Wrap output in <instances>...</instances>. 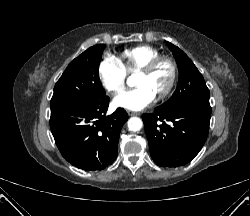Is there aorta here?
<instances>
[{"label": "aorta", "instance_id": "1", "mask_svg": "<svg viewBox=\"0 0 250 216\" xmlns=\"http://www.w3.org/2000/svg\"><path fill=\"white\" fill-rule=\"evenodd\" d=\"M127 125L130 131L137 132L142 128L143 122L139 117H131Z\"/></svg>", "mask_w": 250, "mask_h": 216}]
</instances>
